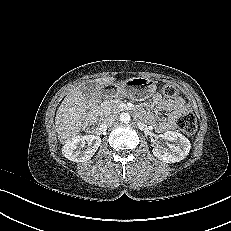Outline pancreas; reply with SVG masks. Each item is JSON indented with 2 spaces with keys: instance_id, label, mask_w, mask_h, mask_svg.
<instances>
[{
  "instance_id": "1",
  "label": "pancreas",
  "mask_w": 231,
  "mask_h": 231,
  "mask_svg": "<svg viewBox=\"0 0 231 231\" xmlns=\"http://www.w3.org/2000/svg\"><path fill=\"white\" fill-rule=\"evenodd\" d=\"M101 116L121 111L118 100H105L98 108Z\"/></svg>"
}]
</instances>
